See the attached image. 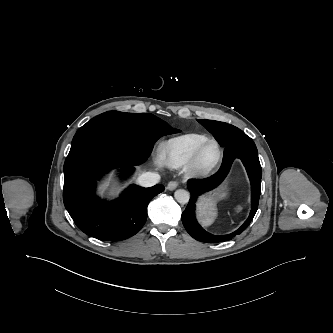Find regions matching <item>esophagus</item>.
Returning a JSON list of instances; mask_svg holds the SVG:
<instances>
[{
  "label": "esophagus",
  "instance_id": "esophagus-1",
  "mask_svg": "<svg viewBox=\"0 0 333 333\" xmlns=\"http://www.w3.org/2000/svg\"><path fill=\"white\" fill-rule=\"evenodd\" d=\"M178 187V182L177 181H170L167 185V189L170 191L175 190Z\"/></svg>",
  "mask_w": 333,
  "mask_h": 333
}]
</instances>
